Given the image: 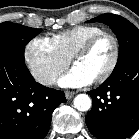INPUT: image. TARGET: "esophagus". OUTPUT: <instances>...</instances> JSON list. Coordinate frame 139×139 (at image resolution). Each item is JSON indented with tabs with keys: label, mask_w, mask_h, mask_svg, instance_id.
Wrapping results in <instances>:
<instances>
[{
	"label": "esophagus",
	"mask_w": 139,
	"mask_h": 139,
	"mask_svg": "<svg viewBox=\"0 0 139 139\" xmlns=\"http://www.w3.org/2000/svg\"><path fill=\"white\" fill-rule=\"evenodd\" d=\"M74 92H72V91H66L65 92V96H66V98L69 100V99H71L73 96H74Z\"/></svg>",
	"instance_id": "34e87169"
}]
</instances>
